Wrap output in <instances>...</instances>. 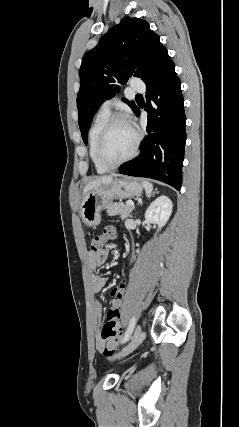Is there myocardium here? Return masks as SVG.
<instances>
[{
  "label": "myocardium",
  "instance_id": "obj_1",
  "mask_svg": "<svg viewBox=\"0 0 239 427\" xmlns=\"http://www.w3.org/2000/svg\"><path fill=\"white\" fill-rule=\"evenodd\" d=\"M121 122L127 123L133 129V131L135 133V142H134V146H133L131 152L126 157H124L123 159H121L119 161L111 162L104 157L103 150H104V146H105L107 137H108L111 129L117 123H121ZM140 142H141V134L133 126L131 121L126 116H124L122 114L113 115L105 123L104 127L102 128V130L99 134V137L97 140V145H96V157H97L99 163L101 165H103L104 167H106L108 169L117 168V167L129 162L130 160H132L137 155L138 149L140 146Z\"/></svg>",
  "mask_w": 239,
  "mask_h": 427
}]
</instances>
